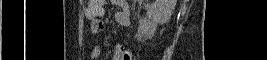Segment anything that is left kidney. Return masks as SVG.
Segmentation results:
<instances>
[{
	"label": "left kidney",
	"mask_w": 267,
	"mask_h": 60,
	"mask_svg": "<svg viewBox=\"0 0 267 60\" xmlns=\"http://www.w3.org/2000/svg\"><path fill=\"white\" fill-rule=\"evenodd\" d=\"M176 6V0H155L147 5V17L152 24H164L171 17Z\"/></svg>",
	"instance_id": "1"
}]
</instances>
